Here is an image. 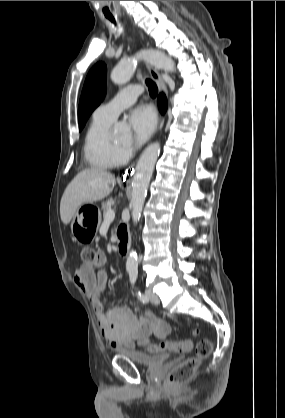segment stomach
I'll list each match as a JSON object with an SVG mask.
<instances>
[{"label": "stomach", "instance_id": "0dacf381", "mask_svg": "<svg viewBox=\"0 0 285 418\" xmlns=\"http://www.w3.org/2000/svg\"><path fill=\"white\" fill-rule=\"evenodd\" d=\"M91 208H86V207ZM101 213L100 210L90 204L82 205L75 213L71 222V232L74 239L80 243L91 242L100 226Z\"/></svg>", "mask_w": 285, "mask_h": 418}]
</instances>
